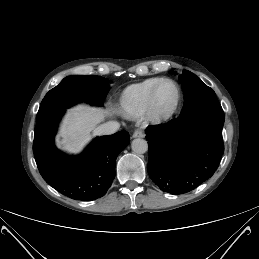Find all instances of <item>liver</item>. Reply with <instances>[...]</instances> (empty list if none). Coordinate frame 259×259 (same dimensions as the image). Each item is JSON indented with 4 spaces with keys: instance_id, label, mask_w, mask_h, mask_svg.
Listing matches in <instances>:
<instances>
[{
    "instance_id": "1",
    "label": "liver",
    "mask_w": 259,
    "mask_h": 259,
    "mask_svg": "<svg viewBox=\"0 0 259 259\" xmlns=\"http://www.w3.org/2000/svg\"><path fill=\"white\" fill-rule=\"evenodd\" d=\"M109 114L108 110L84 104L69 109L60 126L58 136L62 140L58 145L69 153H80L91 140V132Z\"/></svg>"
}]
</instances>
